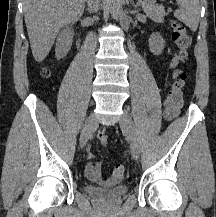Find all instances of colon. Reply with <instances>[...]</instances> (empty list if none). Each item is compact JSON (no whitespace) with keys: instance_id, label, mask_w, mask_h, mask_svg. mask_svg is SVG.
Returning a JSON list of instances; mask_svg holds the SVG:
<instances>
[{"instance_id":"colon-1","label":"colon","mask_w":216,"mask_h":217,"mask_svg":"<svg viewBox=\"0 0 216 217\" xmlns=\"http://www.w3.org/2000/svg\"><path fill=\"white\" fill-rule=\"evenodd\" d=\"M172 27V37L173 41L178 49V58L180 62L184 63L188 59V50L191 44V36L187 27L177 21L171 22ZM43 74L45 76L49 75V70L44 69ZM186 79V72L184 69H180L177 78L171 85V88L168 92V96L166 99V112L165 117L169 120L174 119L179 110L183 105V87ZM97 138L102 143H107L109 141V134L105 128H102L97 133ZM125 174L124 167L121 165H117L113 169V178L116 181H120L123 179Z\"/></svg>"}]
</instances>
